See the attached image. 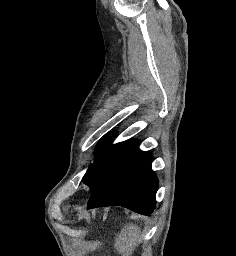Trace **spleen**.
<instances>
[{"label": "spleen", "instance_id": "1", "mask_svg": "<svg viewBox=\"0 0 236 256\" xmlns=\"http://www.w3.org/2000/svg\"><path fill=\"white\" fill-rule=\"evenodd\" d=\"M141 230L136 224H127L119 234H116L114 248L121 256H132L138 242Z\"/></svg>", "mask_w": 236, "mask_h": 256}]
</instances>
